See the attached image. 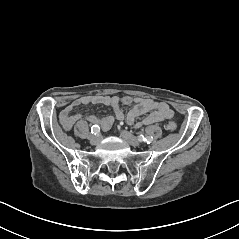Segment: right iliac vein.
Wrapping results in <instances>:
<instances>
[{
  "label": "right iliac vein",
  "instance_id": "obj_1",
  "mask_svg": "<svg viewBox=\"0 0 239 239\" xmlns=\"http://www.w3.org/2000/svg\"><path fill=\"white\" fill-rule=\"evenodd\" d=\"M88 139H89V142L92 145H96L98 143V141H99V139L97 137L93 136V135H90Z\"/></svg>",
  "mask_w": 239,
  "mask_h": 239
}]
</instances>
